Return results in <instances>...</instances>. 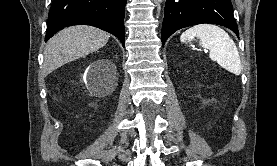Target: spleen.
<instances>
[{"instance_id":"obj_1","label":"spleen","mask_w":277,"mask_h":166,"mask_svg":"<svg viewBox=\"0 0 277 166\" xmlns=\"http://www.w3.org/2000/svg\"><path fill=\"white\" fill-rule=\"evenodd\" d=\"M195 38L200 40V46L209 50L212 61L235 75L241 73L239 52L226 31L213 24H199L183 32L180 39L183 43H191Z\"/></svg>"}]
</instances>
